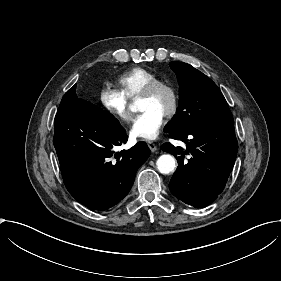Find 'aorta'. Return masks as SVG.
<instances>
[{"mask_svg": "<svg viewBox=\"0 0 281 281\" xmlns=\"http://www.w3.org/2000/svg\"><path fill=\"white\" fill-rule=\"evenodd\" d=\"M156 165L160 173L169 174L174 171L176 160L170 154H163L158 158Z\"/></svg>", "mask_w": 281, "mask_h": 281, "instance_id": "762f6f07", "label": "aorta"}]
</instances>
